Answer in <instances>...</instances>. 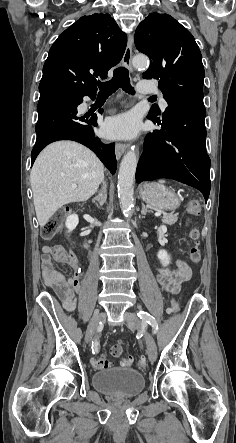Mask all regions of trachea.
<instances>
[{"instance_id":"3493384b","label":"trachea","mask_w":236,"mask_h":443,"mask_svg":"<svg viewBox=\"0 0 236 443\" xmlns=\"http://www.w3.org/2000/svg\"><path fill=\"white\" fill-rule=\"evenodd\" d=\"M99 96L108 97L118 88H122L129 94H134V88L131 86L129 72L125 67H118L114 70V75L110 81L98 82Z\"/></svg>"}]
</instances>
